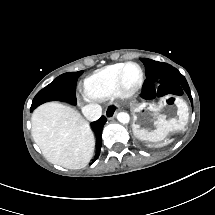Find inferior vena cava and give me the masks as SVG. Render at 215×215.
Wrapping results in <instances>:
<instances>
[{"label":"inferior vena cava","mask_w":215,"mask_h":215,"mask_svg":"<svg viewBox=\"0 0 215 215\" xmlns=\"http://www.w3.org/2000/svg\"><path fill=\"white\" fill-rule=\"evenodd\" d=\"M82 112L90 121L99 119L102 115V107L97 103H90L82 107Z\"/></svg>","instance_id":"602c4592"}]
</instances>
